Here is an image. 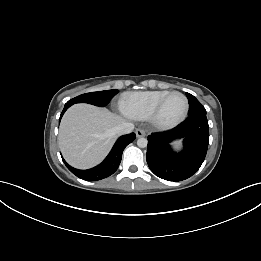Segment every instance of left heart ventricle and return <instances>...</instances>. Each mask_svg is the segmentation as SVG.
Wrapping results in <instances>:
<instances>
[{
  "label": "left heart ventricle",
  "instance_id": "1",
  "mask_svg": "<svg viewBox=\"0 0 261 261\" xmlns=\"http://www.w3.org/2000/svg\"><path fill=\"white\" fill-rule=\"evenodd\" d=\"M184 107L185 102L180 95H171L163 103L159 118L163 122L174 121L182 114Z\"/></svg>",
  "mask_w": 261,
  "mask_h": 261
}]
</instances>
